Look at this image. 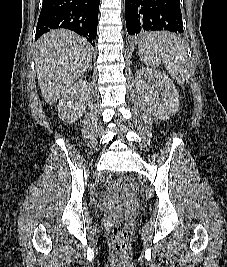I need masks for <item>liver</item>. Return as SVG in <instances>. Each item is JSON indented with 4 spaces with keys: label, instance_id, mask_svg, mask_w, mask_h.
<instances>
[{
    "label": "liver",
    "instance_id": "obj_1",
    "mask_svg": "<svg viewBox=\"0 0 227 267\" xmlns=\"http://www.w3.org/2000/svg\"><path fill=\"white\" fill-rule=\"evenodd\" d=\"M92 47L76 33L56 29L36 43L38 84L45 101L52 105L90 67Z\"/></svg>",
    "mask_w": 227,
    "mask_h": 267
}]
</instances>
